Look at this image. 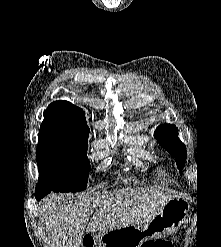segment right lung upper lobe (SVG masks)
<instances>
[{
  "label": "right lung upper lobe",
  "instance_id": "cb5924a9",
  "mask_svg": "<svg viewBox=\"0 0 221 247\" xmlns=\"http://www.w3.org/2000/svg\"><path fill=\"white\" fill-rule=\"evenodd\" d=\"M84 114L81 108L70 102L55 101L45 110L40 130L66 132L88 138L90 129Z\"/></svg>",
  "mask_w": 221,
  "mask_h": 247
}]
</instances>
